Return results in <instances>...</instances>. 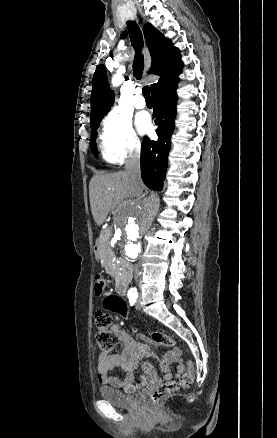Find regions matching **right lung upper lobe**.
<instances>
[{"mask_svg":"<svg viewBox=\"0 0 277 438\" xmlns=\"http://www.w3.org/2000/svg\"><path fill=\"white\" fill-rule=\"evenodd\" d=\"M143 32L152 57L149 73L160 76L158 82L150 86L152 91L161 82L178 74L182 70V63L179 50L154 26L146 23ZM113 102L114 92L109 89L106 69L104 65L100 64L96 68L92 81L91 122L101 121L110 110Z\"/></svg>","mask_w":277,"mask_h":438,"instance_id":"1","label":"right lung upper lobe"}]
</instances>
